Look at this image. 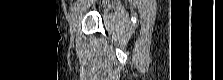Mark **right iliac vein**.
<instances>
[{"mask_svg": "<svg viewBox=\"0 0 223 80\" xmlns=\"http://www.w3.org/2000/svg\"><path fill=\"white\" fill-rule=\"evenodd\" d=\"M79 19H80V12H79V10H77V11H75V13L73 14V16H72V20H71V23H70V30H71V33H72V34H74L75 31H76V28H77Z\"/></svg>", "mask_w": 223, "mask_h": 80, "instance_id": "right-iliac-vein-1", "label": "right iliac vein"}]
</instances>
